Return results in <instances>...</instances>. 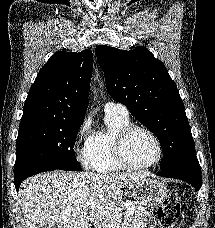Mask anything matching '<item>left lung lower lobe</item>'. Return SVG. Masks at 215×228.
Wrapping results in <instances>:
<instances>
[{"label": "left lung lower lobe", "mask_w": 215, "mask_h": 228, "mask_svg": "<svg viewBox=\"0 0 215 228\" xmlns=\"http://www.w3.org/2000/svg\"><path fill=\"white\" fill-rule=\"evenodd\" d=\"M156 175L183 180L191 184L195 191H198L202 184L201 169L196 156L188 157L165 170H161Z\"/></svg>", "instance_id": "1"}]
</instances>
